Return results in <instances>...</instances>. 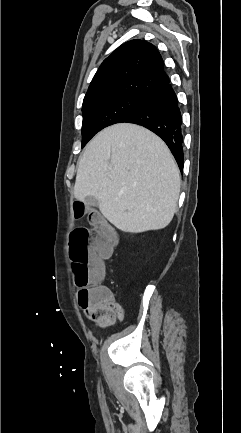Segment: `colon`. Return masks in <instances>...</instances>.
I'll use <instances>...</instances> for the list:
<instances>
[{
  "label": "colon",
  "mask_w": 241,
  "mask_h": 433,
  "mask_svg": "<svg viewBox=\"0 0 241 433\" xmlns=\"http://www.w3.org/2000/svg\"><path fill=\"white\" fill-rule=\"evenodd\" d=\"M74 221H83L89 214V205L84 200L72 202ZM90 221L94 226V236L91 239L87 228H78L71 235L70 258L76 273V286L79 288V301L85 308L97 304L107 298L109 293L102 284L105 277L103 259L106 258L116 243L110 227L103 217L90 213Z\"/></svg>",
  "instance_id": "5ec220e1"
}]
</instances>
